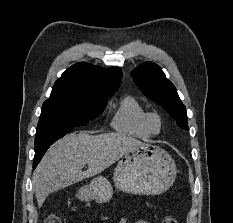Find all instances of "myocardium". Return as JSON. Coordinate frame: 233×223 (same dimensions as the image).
<instances>
[{
  "instance_id": "f54148a6",
  "label": "myocardium",
  "mask_w": 233,
  "mask_h": 223,
  "mask_svg": "<svg viewBox=\"0 0 233 223\" xmlns=\"http://www.w3.org/2000/svg\"><path fill=\"white\" fill-rule=\"evenodd\" d=\"M155 120H158L161 124V129L158 131H155L153 129V122ZM145 127L147 129V131L151 134V135H159L164 131L165 128V120L163 115L158 112V111H150L147 112L146 116H145Z\"/></svg>"
}]
</instances>
